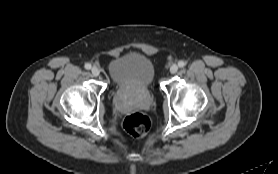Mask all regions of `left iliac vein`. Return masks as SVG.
Returning a JSON list of instances; mask_svg holds the SVG:
<instances>
[{
	"label": "left iliac vein",
	"mask_w": 278,
	"mask_h": 174,
	"mask_svg": "<svg viewBox=\"0 0 278 174\" xmlns=\"http://www.w3.org/2000/svg\"><path fill=\"white\" fill-rule=\"evenodd\" d=\"M178 71V66L176 64L171 65L170 73L175 74Z\"/></svg>",
	"instance_id": "left-iliac-vein-1"
}]
</instances>
